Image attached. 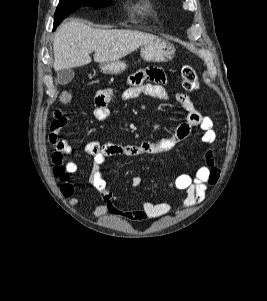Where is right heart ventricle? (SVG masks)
<instances>
[{
    "label": "right heart ventricle",
    "mask_w": 267,
    "mask_h": 301,
    "mask_svg": "<svg viewBox=\"0 0 267 301\" xmlns=\"http://www.w3.org/2000/svg\"><path fill=\"white\" fill-rule=\"evenodd\" d=\"M142 9H143L144 11H148V9H149V5H145V6H143V7H142Z\"/></svg>",
    "instance_id": "right-heart-ventricle-1"
}]
</instances>
